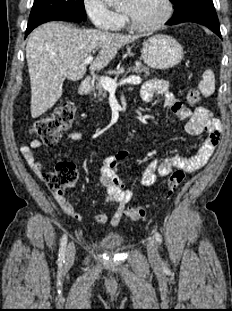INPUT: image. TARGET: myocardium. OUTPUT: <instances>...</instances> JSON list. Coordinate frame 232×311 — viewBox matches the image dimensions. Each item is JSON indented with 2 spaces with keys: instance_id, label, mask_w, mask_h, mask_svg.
<instances>
[{
  "instance_id": "f54148a6",
  "label": "myocardium",
  "mask_w": 232,
  "mask_h": 311,
  "mask_svg": "<svg viewBox=\"0 0 232 311\" xmlns=\"http://www.w3.org/2000/svg\"><path fill=\"white\" fill-rule=\"evenodd\" d=\"M162 2L164 4L163 15L157 22H155L154 24L148 25V26H142V25L136 24L131 18V16L127 12L124 11V18H125V22L127 26L131 30L135 32H139V33H152V32H155L161 29L169 21V19L171 18L172 12H173V6H172L171 0H162Z\"/></svg>"
}]
</instances>
